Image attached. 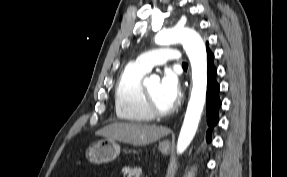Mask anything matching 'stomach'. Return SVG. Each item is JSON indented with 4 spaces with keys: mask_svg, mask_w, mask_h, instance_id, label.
<instances>
[{
    "mask_svg": "<svg viewBox=\"0 0 287 177\" xmlns=\"http://www.w3.org/2000/svg\"><path fill=\"white\" fill-rule=\"evenodd\" d=\"M159 150L163 154L170 151V143L163 141L159 143ZM120 146L115 140L105 139L95 142L86 151V158L95 164L107 163L118 157Z\"/></svg>",
    "mask_w": 287,
    "mask_h": 177,
    "instance_id": "1",
    "label": "stomach"
}]
</instances>
